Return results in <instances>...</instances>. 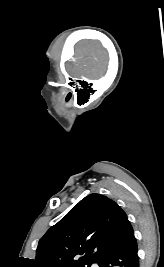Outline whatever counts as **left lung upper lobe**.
Instances as JSON below:
<instances>
[{
    "label": "left lung upper lobe",
    "mask_w": 164,
    "mask_h": 267,
    "mask_svg": "<svg viewBox=\"0 0 164 267\" xmlns=\"http://www.w3.org/2000/svg\"><path fill=\"white\" fill-rule=\"evenodd\" d=\"M127 222L125 212L116 202L101 194H90L40 239L32 264L34 267L99 264Z\"/></svg>",
    "instance_id": "obj_1"
}]
</instances>
